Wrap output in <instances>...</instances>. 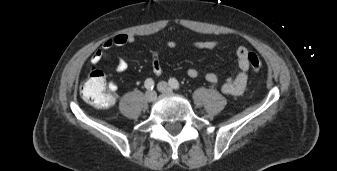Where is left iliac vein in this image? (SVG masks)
I'll list each match as a JSON object with an SVG mask.
<instances>
[{
  "instance_id": "left-iliac-vein-1",
  "label": "left iliac vein",
  "mask_w": 337,
  "mask_h": 171,
  "mask_svg": "<svg viewBox=\"0 0 337 171\" xmlns=\"http://www.w3.org/2000/svg\"><path fill=\"white\" fill-rule=\"evenodd\" d=\"M157 89L161 93H172V88L164 81H161L157 85Z\"/></svg>"
}]
</instances>
